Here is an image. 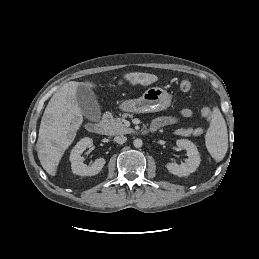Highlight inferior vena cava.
Segmentation results:
<instances>
[{"label":"inferior vena cava","instance_id":"1","mask_svg":"<svg viewBox=\"0 0 259 259\" xmlns=\"http://www.w3.org/2000/svg\"><path fill=\"white\" fill-rule=\"evenodd\" d=\"M114 141L116 143H118V144H123V143H125L127 141V138L125 136H123V135H120V136H116L114 138Z\"/></svg>","mask_w":259,"mask_h":259}]
</instances>
